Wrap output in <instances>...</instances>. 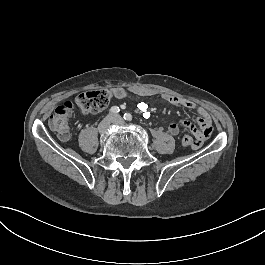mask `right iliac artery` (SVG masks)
Instances as JSON below:
<instances>
[{
  "instance_id": "82829eb1",
  "label": "right iliac artery",
  "mask_w": 265,
  "mask_h": 265,
  "mask_svg": "<svg viewBox=\"0 0 265 265\" xmlns=\"http://www.w3.org/2000/svg\"><path fill=\"white\" fill-rule=\"evenodd\" d=\"M120 111L119 107L117 106H113L111 107V109L109 110V114H117Z\"/></svg>"
}]
</instances>
